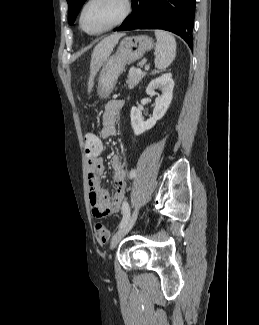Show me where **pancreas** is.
<instances>
[{
	"label": "pancreas",
	"instance_id": "pancreas-1",
	"mask_svg": "<svg viewBox=\"0 0 259 325\" xmlns=\"http://www.w3.org/2000/svg\"><path fill=\"white\" fill-rule=\"evenodd\" d=\"M146 75L145 72L137 73L136 69H130L128 73V79L126 80V84L130 89H133L138 83L142 80V78Z\"/></svg>",
	"mask_w": 259,
	"mask_h": 325
}]
</instances>
